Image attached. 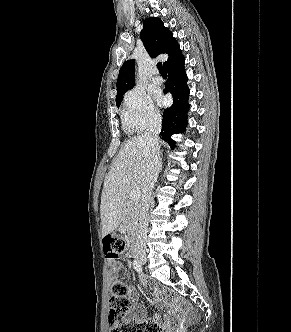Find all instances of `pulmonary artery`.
<instances>
[{
    "instance_id": "obj_1",
    "label": "pulmonary artery",
    "mask_w": 291,
    "mask_h": 332,
    "mask_svg": "<svg viewBox=\"0 0 291 332\" xmlns=\"http://www.w3.org/2000/svg\"><path fill=\"white\" fill-rule=\"evenodd\" d=\"M152 81H153L155 84H161V83H162V78H161L159 75L155 74V75L153 76V78H152Z\"/></svg>"
}]
</instances>
